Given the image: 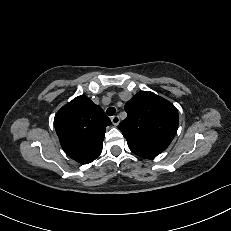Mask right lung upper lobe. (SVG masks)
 I'll return each mask as SVG.
<instances>
[{
    "label": "right lung upper lobe",
    "instance_id": "cb5924a9",
    "mask_svg": "<svg viewBox=\"0 0 231 231\" xmlns=\"http://www.w3.org/2000/svg\"><path fill=\"white\" fill-rule=\"evenodd\" d=\"M110 124L102 108L83 95L63 106L54 117L63 150L80 164L91 163L101 154Z\"/></svg>",
    "mask_w": 231,
    "mask_h": 231
}]
</instances>
